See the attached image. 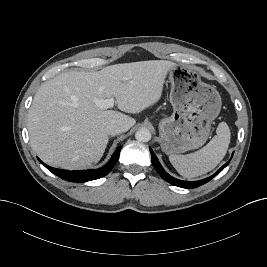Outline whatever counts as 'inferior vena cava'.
Here are the masks:
<instances>
[{
    "mask_svg": "<svg viewBox=\"0 0 267 267\" xmlns=\"http://www.w3.org/2000/svg\"><path fill=\"white\" fill-rule=\"evenodd\" d=\"M125 131L124 127L118 123H110L106 127V132L109 135H118Z\"/></svg>",
    "mask_w": 267,
    "mask_h": 267,
    "instance_id": "obj_1",
    "label": "inferior vena cava"
}]
</instances>
